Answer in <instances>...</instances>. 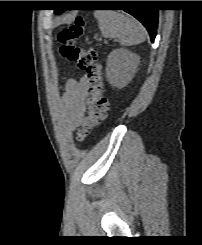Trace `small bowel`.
<instances>
[{
  "label": "small bowel",
  "instance_id": "obj_1",
  "mask_svg": "<svg viewBox=\"0 0 202 245\" xmlns=\"http://www.w3.org/2000/svg\"><path fill=\"white\" fill-rule=\"evenodd\" d=\"M88 78L82 76L79 80L68 79L64 85L63 100L67 108L79 109L83 105L84 98L87 93ZM78 121H73L70 124L71 129H76Z\"/></svg>",
  "mask_w": 202,
  "mask_h": 245
}]
</instances>
